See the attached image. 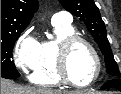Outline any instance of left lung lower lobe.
Listing matches in <instances>:
<instances>
[{
  "label": "left lung lower lobe",
  "mask_w": 121,
  "mask_h": 94,
  "mask_svg": "<svg viewBox=\"0 0 121 94\" xmlns=\"http://www.w3.org/2000/svg\"><path fill=\"white\" fill-rule=\"evenodd\" d=\"M109 88H115L121 91V80H110L101 87V90Z\"/></svg>",
  "instance_id": "0a47b994"
}]
</instances>
